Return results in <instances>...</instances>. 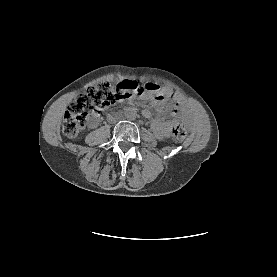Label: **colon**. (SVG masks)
I'll return each instance as SVG.
<instances>
[{
    "label": "colon",
    "instance_id": "obj_1",
    "mask_svg": "<svg viewBox=\"0 0 277 277\" xmlns=\"http://www.w3.org/2000/svg\"><path fill=\"white\" fill-rule=\"evenodd\" d=\"M143 87L135 81L126 80L118 84L102 82L87 88L69 106L62 124L64 134L69 137L77 136L92 113H96L118 100L138 94L143 90ZM187 135L188 133L182 125L175 124L173 126L172 137L175 141L182 142L187 138Z\"/></svg>",
    "mask_w": 277,
    "mask_h": 277
}]
</instances>
